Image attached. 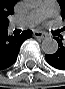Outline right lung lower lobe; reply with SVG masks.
<instances>
[{"label":"right lung lower lobe","instance_id":"1","mask_svg":"<svg viewBox=\"0 0 65 89\" xmlns=\"http://www.w3.org/2000/svg\"><path fill=\"white\" fill-rule=\"evenodd\" d=\"M32 37V31H23L20 35H8L7 27L0 28V70L15 63L21 44Z\"/></svg>","mask_w":65,"mask_h":89}]
</instances>
